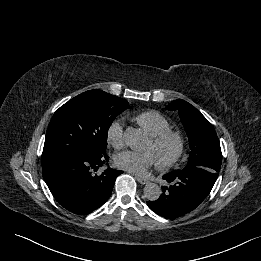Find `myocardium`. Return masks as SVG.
I'll use <instances>...</instances> for the list:
<instances>
[{
	"label": "myocardium",
	"instance_id": "1",
	"mask_svg": "<svg viewBox=\"0 0 261 261\" xmlns=\"http://www.w3.org/2000/svg\"><path fill=\"white\" fill-rule=\"evenodd\" d=\"M150 141L156 147H162L168 143L175 145V150L170 157L157 162L158 167L162 170L169 169L175 165L184 154L185 138L179 130L168 129L158 135L151 136Z\"/></svg>",
	"mask_w": 261,
	"mask_h": 261
}]
</instances>
